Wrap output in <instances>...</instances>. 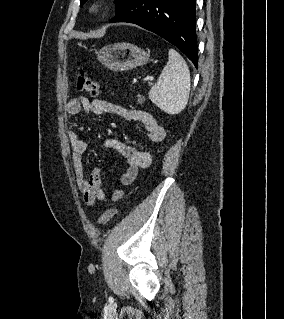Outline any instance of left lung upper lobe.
Returning a JSON list of instances; mask_svg holds the SVG:
<instances>
[{
	"label": "left lung upper lobe",
	"instance_id": "5c2ea615",
	"mask_svg": "<svg viewBox=\"0 0 284 319\" xmlns=\"http://www.w3.org/2000/svg\"><path fill=\"white\" fill-rule=\"evenodd\" d=\"M87 0H80V6H82ZM129 0H115V3H116V14L119 13L123 7L126 5V3L128 2Z\"/></svg>",
	"mask_w": 284,
	"mask_h": 319
}]
</instances>
